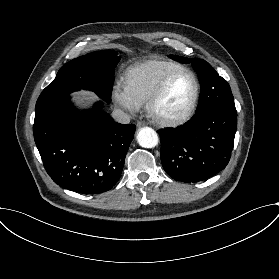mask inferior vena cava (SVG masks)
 Listing matches in <instances>:
<instances>
[{"label": "inferior vena cava", "instance_id": "602c4592", "mask_svg": "<svg viewBox=\"0 0 279 279\" xmlns=\"http://www.w3.org/2000/svg\"><path fill=\"white\" fill-rule=\"evenodd\" d=\"M112 117L114 120L121 124H129L130 117L121 109H114L112 112Z\"/></svg>", "mask_w": 279, "mask_h": 279}]
</instances>
